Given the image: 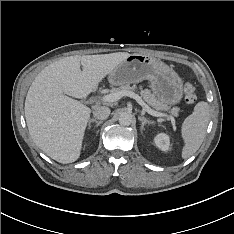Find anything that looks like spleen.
Returning <instances> with one entry per match:
<instances>
[{"mask_svg":"<svg viewBox=\"0 0 234 234\" xmlns=\"http://www.w3.org/2000/svg\"><path fill=\"white\" fill-rule=\"evenodd\" d=\"M210 120V107L207 102H199L194 112L188 116L181 127L184 140L182 158L187 159L194 155L201 146Z\"/></svg>","mask_w":234,"mask_h":234,"instance_id":"1","label":"spleen"}]
</instances>
